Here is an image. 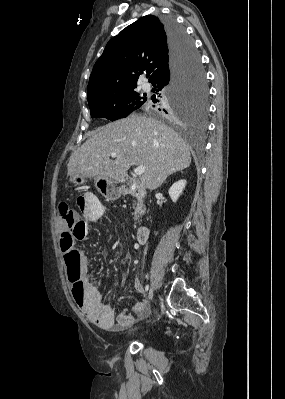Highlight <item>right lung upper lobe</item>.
<instances>
[{"label": "right lung upper lobe", "instance_id": "right-lung-upper-lobe-1", "mask_svg": "<svg viewBox=\"0 0 285 399\" xmlns=\"http://www.w3.org/2000/svg\"><path fill=\"white\" fill-rule=\"evenodd\" d=\"M169 43L164 24L153 15L135 21L106 45L88 83V101L137 87L143 70L149 82L168 67Z\"/></svg>", "mask_w": 285, "mask_h": 399}]
</instances>
